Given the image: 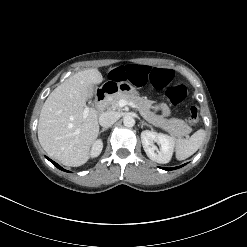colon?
Here are the masks:
<instances>
[{
  "instance_id": "5ec220e1",
  "label": "colon",
  "mask_w": 247,
  "mask_h": 247,
  "mask_svg": "<svg viewBox=\"0 0 247 247\" xmlns=\"http://www.w3.org/2000/svg\"><path fill=\"white\" fill-rule=\"evenodd\" d=\"M109 78L115 84L127 82L137 86L148 85L157 89H166V96L174 105L183 102L189 91L184 83L174 79L172 70L146 64H115L109 70ZM188 119L191 125L198 126L199 116L196 107L192 106L189 109Z\"/></svg>"
}]
</instances>
